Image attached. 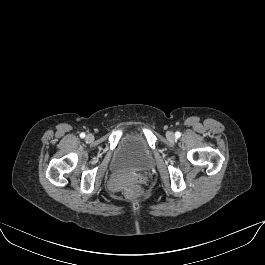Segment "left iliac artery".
Here are the masks:
<instances>
[{
	"instance_id": "44dca946",
	"label": "left iliac artery",
	"mask_w": 265,
	"mask_h": 265,
	"mask_svg": "<svg viewBox=\"0 0 265 265\" xmlns=\"http://www.w3.org/2000/svg\"><path fill=\"white\" fill-rule=\"evenodd\" d=\"M175 137H176V138H180V137H181V133L177 131V132L175 133Z\"/></svg>"
}]
</instances>
